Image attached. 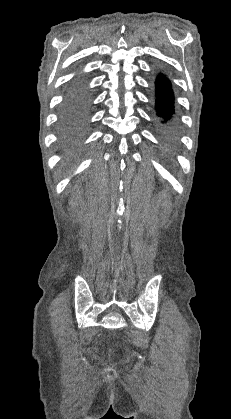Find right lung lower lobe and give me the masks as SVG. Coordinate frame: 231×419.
Instances as JSON below:
<instances>
[{"instance_id":"98d812e1","label":"right lung lower lobe","mask_w":231,"mask_h":419,"mask_svg":"<svg viewBox=\"0 0 231 419\" xmlns=\"http://www.w3.org/2000/svg\"><path fill=\"white\" fill-rule=\"evenodd\" d=\"M90 95L81 84H73L66 92L61 111L62 134L65 140L77 142L87 129Z\"/></svg>"}]
</instances>
